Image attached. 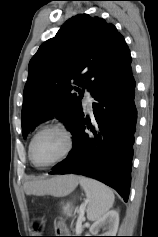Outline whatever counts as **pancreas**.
<instances>
[{
	"instance_id": "cf45deb5",
	"label": "pancreas",
	"mask_w": 158,
	"mask_h": 237,
	"mask_svg": "<svg viewBox=\"0 0 158 237\" xmlns=\"http://www.w3.org/2000/svg\"><path fill=\"white\" fill-rule=\"evenodd\" d=\"M76 233H81V229L76 228Z\"/></svg>"
}]
</instances>
